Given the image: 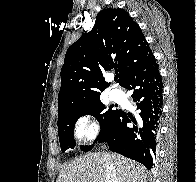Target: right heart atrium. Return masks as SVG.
Listing matches in <instances>:
<instances>
[{"mask_svg": "<svg viewBox=\"0 0 196 182\" xmlns=\"http://www.w3.org/2000/svg\"><path fill=\"white\" fill-rule=\"evenodd\" d=\"M98 132L97 124L88 116L78 119L75 125V134L80 139L91 140Z\"/></svg>", "mask_w": 196, "mask_h": 182, "instance_id": "d8ad5b80", "label": "right heart atrium"}]
</instances>
